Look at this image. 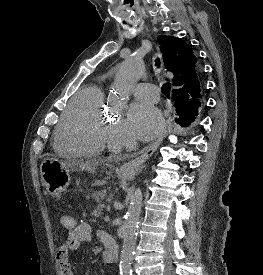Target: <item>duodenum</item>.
Returning <instances> with one entry per match:
<instances>
[{
  "instance_id": "410a0bca",
  "label": "duodenum",
  "mask_w": 263,
  "mask_h": 275,
  "mask_svg": "<svg viewBox=\"0 0 263 275\" xmlns=\"http://www.w3.org/2000/svg\"><path fill=\"white\" fill-rule=\"evenodd\" d=\"M102 241L105 247L103 258L106 262H116L119 255V247L115 239L107 233L103 234Z\"/></svg>"
}]
</instances>
